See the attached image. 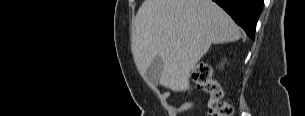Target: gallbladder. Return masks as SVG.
Here are the masks:
<instances>
[{
	"instance_id": "bac80fb5",
	"label": "gallbladder",
	"mask_w": 305,
	"mask_h": 116,
	"mask_svg": "<svg viewBox=\"0 0 305 116\" xmlns=\"http://www.w3.org/2000/svg\"><path fill=\"white\" fill-rule=\"evenodd\" d=\"M162 69L163 61L160 57L157 56L153 59L148 69L144 73L146 80L152 83L153 85H157Z\"/></svg>"
}]
</instances>
